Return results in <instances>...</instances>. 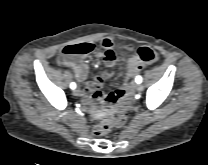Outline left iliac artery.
<instances>
[{
    "label": "left iliac artery",
    "mask_w": 208,
    "mask_h": 165,
    "mask_svg": "<svg viewBox=\"0 0 208 165\" xmlns=\"http://www.w3.org/2000/svg\"><path fill=\"white\" fill-rule=\"evenodd\" d=\"M136 82L137 83H141L142 82V77L141 76H137L136 77Z\"/></svg>",
    "instance_id": "1"
}]
</instances>
